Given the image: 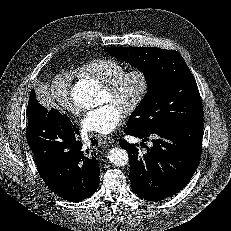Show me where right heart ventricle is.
Here are the masks:
<instances>
[{
    "mask_svg": "<svg viewBox=\"0 0 231 231\" xmlns=\"http://www.w3.org/2000/svg\"><path fill=\"white\" fill-rule=\"evenodd\" d=\"M125 69V65L116 60L98 58L77 66L76 72L101 84H106Z\"/></svg>",
    "mask_w": 231,
    "mask_h": 231,
    "instance_id": "1",
    "label": "right heart ventricle"
}]
</instances>
